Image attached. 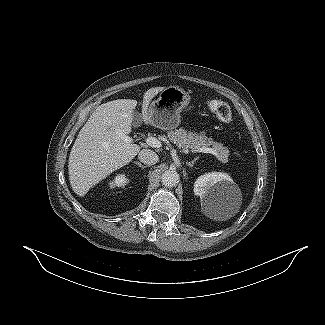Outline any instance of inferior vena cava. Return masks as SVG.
Returning <instances> with one entry per match:
<instances>
[{
  "mask_svg": "<svg viewBox=\"0 0 325 325\" xmlns=\"http://www.w3.org/2000/svg\"><path fill=\"white\" fill-rule=\"evenodd\" d=\"M139 160L146 165H154L158 162V155L149 149H143L138 154Z\"/></svg>",
  "mask_w": 325,
  "mask_h": 325,
  "instance_id": "inferior-vena-cava-1",
  "label": "inferior vena cava"
}]
</instances>
